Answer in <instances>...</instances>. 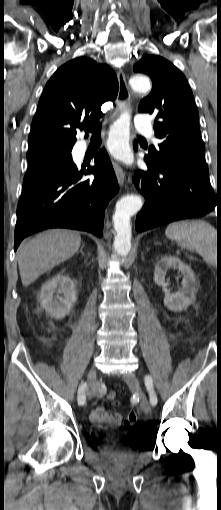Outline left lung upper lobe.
<instances>
[{
	"label": "left lung upper lobe",
	"mask_w": 221,
	"mask_h": 510,
	"mask_svg": "<svg viewBox=\"0 0 221 510\" xmlns=\"http://www.w3.org/2000/svg\"><path fill=\"white\" fill-rule=\"evenodd\" d=\"M133 70L152 79V91L142 99L138 111L156 116L155 135L163 140L157 148H149L153 164L185 168L209 176L198 110L185 76L157 55L143 57Z\"/></svg>",
	"instance_id": "5c2ea615"
}]
</instances>
